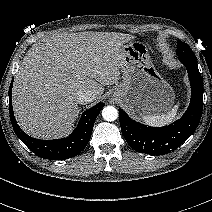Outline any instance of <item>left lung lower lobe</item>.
I'll use <instances>...</instances> for the list:
<instances>
[{"instance_id":"left-lung-lower-lobe-1","label":"left lung lower lobe","mask_w":212,"mask_h":212,"mask_svg":"<svg viewBox=\"0 0 212 212\" xmlns=\"http://www.w3.org/2000/svg\"><path fill=\"white\" fill-rule=\"evenodd\" d=\"M188 71L191 101L176 122L165 127H150L133 121L119 109L120 126L127 143L137 152L162 155L174 151L196 130L203 109V83L196 57L179 56Z\"/></svg>"}]
</instances>
